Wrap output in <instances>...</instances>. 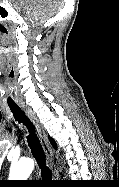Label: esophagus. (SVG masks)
Segmentation results:
<instances>
[{"label":"esophagus","mask_w":119,"mask_h":187,"mask_svg":"<svg viewBox=\"0 0 119 187\" xmlns=\"http://www.w3.org/2000/svg\"><path fill=\"white\" fill-rule=\"evenodd\" d=\"M22 110L25 112V114L27 115V117L31 120V122L34 124L37 132H38V136H39V140L41 143V146L43 148V151L46 155L47 161L50 165V168L52 170L53 173V177L54 178H58L59 177V173L58 170L56 169L54 162H53V152L51 149V146L47 140V137L45 135L44 130L42 129V127L40 126L39 122L37 121L36 117L34 116L33 112L25 107V106H21Z\"/></svg>","instance_id":"1"}]
</instances>
